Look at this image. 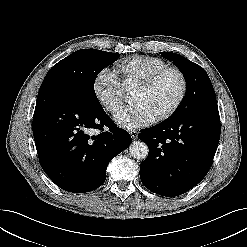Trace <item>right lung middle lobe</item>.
Listing matches in <instances>:
<instances>
[{
    "mask_svg": "<svg viewBox=\"0 0 247 247\" xmlns=\"http://www.w3.org/2000/svg\"><path fill=\"white\" fill-rule=\"evenodd\" d=\"M118 56V53L97 49L78 50L49 70L39 93L52 89H68L81 95L92 106H101L94 91L96 76Z\"/></svg>",
    "mask_w": 247,
    "mask_h": 247,
    "instance_id": "right-lung-middle-lobe-1",
    "label": "right lung middle lobe"
}]
</instances>
